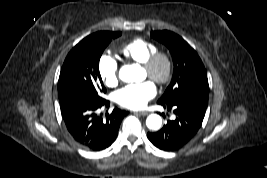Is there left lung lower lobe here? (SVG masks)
Instances as JSON below:
<instances>
[{
    "mask_svg": "<svg viewBox=\"0 0 267 178\" xmlns=\"http://www.w3.org/2000/svg\"><path fill=\"white\" fill-rule=\"evenodd\" d=\"M168 111H173L175 118L168 120L163 128L147 137L157 148L174 151L185 146L200 129L206 109L185 103H159ZM164 116V114H163Z\"/></svg>",
    "mask_w": 267,
    "mask_h": 178,
    "instance_id": "left-lung-lower-lobe-1",
    "label": "left lung lower lobe"
}]
</instances>
